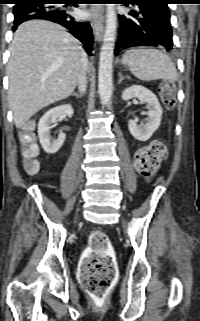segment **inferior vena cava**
I'll list each match as a JSON object with an SVG mask.
<instances>
[{
    "label": "inferior vena cava",
    "instance_id": "1",
    "mask_svg": "<svg viewBox=\"0 0 200 321\" xmlns=\"http://www.w3.org/2000/svg\"><path fill=\"white\" fill-rule=\"evenodd\" d=\"M87 70H88L87 55L83 51L81 54L80 61H79V69H78V74H77V84H78V89L81 92V94L85 93V91H86Z\"/></svg>",
    "mask_w": 200,
    "mask_h": 321
}]
</instances>
